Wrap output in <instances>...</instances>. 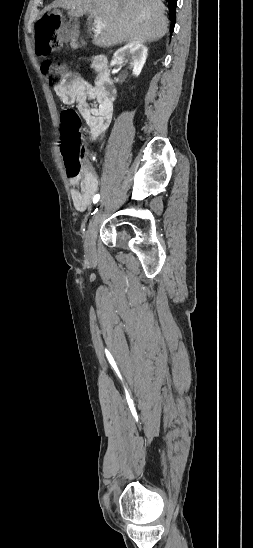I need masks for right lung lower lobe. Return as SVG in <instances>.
<instances>
[{"label":"right lung lower lobe","mask_w":253,"mask_h":548,"mask_svg":"<svg viewBox=\"0 0 253 548\" xmlns=\"http://www.w3.org/2000/svg\"><path fill=\"white\" fill-rule=\"evenodd\" d=\"M169 6L172 8L173 10V14H172V17H171V20L173 22V27H174V24H175V21H176V15H175V10H176V3H177V0H167Z\"/></svg>","instance_id":"right-lung-lower-lobe-1"}]
</instances>
